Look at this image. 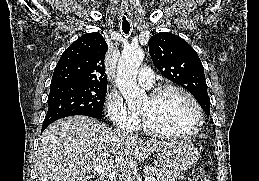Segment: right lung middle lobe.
I'll return each mask as SVG.
<instances>
[{"label": "right lung middle lobe", "instance_id": "right-lung-middle-lobe-1", "mask_svg": "<svg viewBox=\"0 0 259 181\" xmlns=\"http://www.w3.org/2000/svg\"><path fill=\"white\" fill-rule=\"evenodd\" d=\"M107 87L60 85L50 87L48 112L43 125L57 119L85 115L96 119L102 118Z\"/></svg>", "mask_w": 259, "mask_h": 181}]
</instances>
